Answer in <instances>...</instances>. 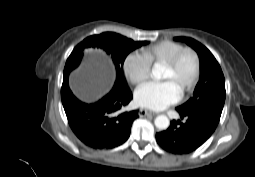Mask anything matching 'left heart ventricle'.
Here are the masks:
<instances>
[{
	"instance_id": "obj_1",
	"label": "left heart ventricle",
	"mask_w": 255,
	"mask_h": 177,
	"mask_svg": "<svg viewBox=\"0 0 255 177\" xmlns=\"http://www.w3.org/2000/svg\"><path fill=\"white\" fill-rule=\"evenodd\" d=\"M194 73V60L191 55H186L175 70L163 67L161 78L169 80L182 90L190 81Z\"/></svg>"
}]
</instances>
